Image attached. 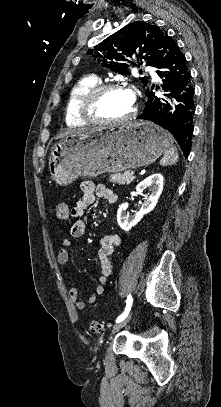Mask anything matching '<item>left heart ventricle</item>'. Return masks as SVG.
I'll return each instance as SVG.
<instances>
[{
	"mask_svg": "<svg viewBox=\"0 0 221 407\" xmlns=\"http://www.w3.org/2000/svg\"><path fill=\"white\" fill-rule=\"evenodd\" d=\"M134 100L126 90H113L106 93L101 99L97 111L104 118L116 119L130 113Z\"/></svg>",
	"mask_w": 221,
	"mask_h": 407,
	"instance_id": "obj_1",
	"label": "left heart ventricle"
}]
</instances>
